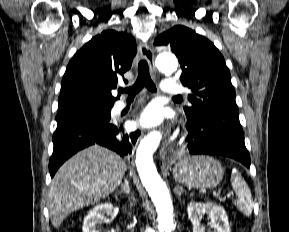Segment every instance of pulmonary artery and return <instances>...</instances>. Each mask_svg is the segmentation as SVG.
<instances>
[{
	"mask_svg": "<svg viewBox=\"0 0 289 232\" xmlns=\"http://www.w3.org/2000/svg\"><path fill=\"white\" fill-rule=\"evenodd\" d=\"M161 90L165 94H178L181 93L184 89L176 80L172 78H167L162 81ZM126 106V102L120 100L114 105V111L119 112L123 110Z\"/></svg>",
	"mask_w": 289,
	"mask_h": 232,
	"instance_id": "e3ab8cb5",
	"label": "pulmonary artery"
}]
</instances>
